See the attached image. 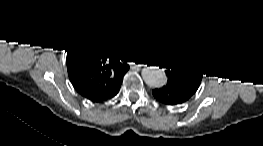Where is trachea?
<instances>
[{"mask_svg": "<svg viewBox=\"0 0 263 146\" xmlns=\"http://www.w3.org/2000/svg\"><path fill=\"white\" fill-rule=\"evenodd\" d=\"M118 58L122 62H134L137 60L135 54L128 50H121L118 54Z\"/></svg>", "mask_w": 263, "mask_h": 146, "instance_id": "3493384b", "label": "trachea"}]
</instances>
